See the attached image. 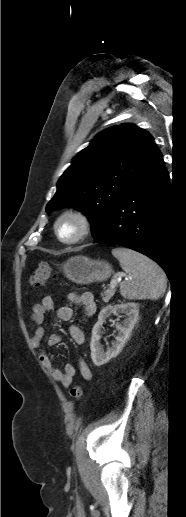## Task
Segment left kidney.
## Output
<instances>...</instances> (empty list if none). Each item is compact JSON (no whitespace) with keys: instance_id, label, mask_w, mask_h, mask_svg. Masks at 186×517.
I'll return each mask as SVG.
<instances>
[{"instance_id":"left-kidney-1","label":"left kidney","mask_w":186,"mask_h":517,"mask_svg":"<svg viewBox=\"0 0 186 517\" xmlns=\"http://www.w3.org/2000/svg\"><path fill=\"white\" fill-rule=\"evenodd\" d=\"M111 314H125L126 318L123 320L122 324H116V329L119 333L116 336L115 341L112 342V347L108 348L105 352L100 343L101 334L103 333L102 326L106 318L111 316ZM138 315L139 304L131 302L121 303L114 306L108 305L100 311L98 321L92 329V338L90 342L91 358L96 366H101L107 363L111 358L116 357L121 352L138 320Z\"/></svg>"}]
</instances>
